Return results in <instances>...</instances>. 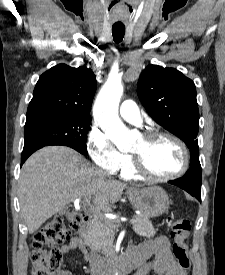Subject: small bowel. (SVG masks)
Returning <instances> with one entry per match:
<instances>
[{
	"label": "small bowel",
	"instance_id": "obj_1",
	"mask_svg": "<svg viewBox=\"0 0 225 275\" xmlns=\"http://www.w3.org/2000/svg\"><path fill=\"white\" fill-rule=\"evenodd\" d=\"M82 240L72 237L69 242L61 247L63 254H68L75 249H83ZM139 268L135 275H187L173 258L169 241L164 236H158L152 240L145 241L130 251ZM153 257V258H152ZM59 275H72L68 271H62Z\"/></svg>",
	"mask_w": 225,
	"mask_h": 275
}]
</instances>
